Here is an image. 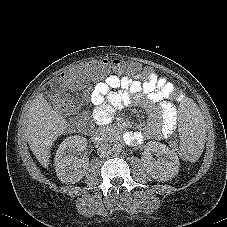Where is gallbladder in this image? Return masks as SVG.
<instances>
[{
    "instance_id": "gallbladder-1",
    "label": "gallbladder",
    "mask_w": 227,
    "mask_h": 227,
    "mask_svg": "<svg viewBox=\"0 0 227 227\" xmlns=\"http://www.w3.org/2000/svg\"><path fill=\"white\" fill-rule=\"evenodd\" d=\"M50 87L51 90L54 91L55 93L64 96L66 89L59 79L57 78L53 79L50 83Z\"/></svg>"
}]
</instances>
